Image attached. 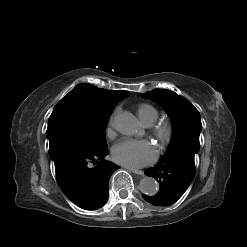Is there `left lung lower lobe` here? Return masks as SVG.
<instances>
[{
	"mask_svg": "<svg viewBox=\"0 0 247 247\" xmlns=\"http://www.w3.org/2000/svg\"><path fill=\"white\" fill-rule=\"evenodd\" d=\"M195 153L181 150L165 155L155 167L145 171L154 177L160 185V191L154 196L143 194L151 204L167 206L176 202L187 190L195 175Z\"/></svg>",
	"mask_w": 247,
	"mask_h": 247,
	"instance_id": "0a47b994",
	"label": "left lung lower lobe"
}]
</instances>
